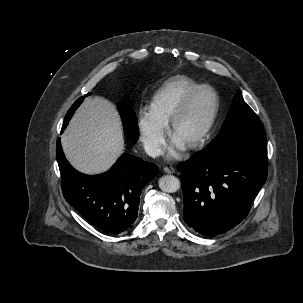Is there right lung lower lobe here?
<instances>
[{"label":"right lung lower lobe","instance_id":"98d812e1","mask_svg":"<svg viewBox=\"0 0 303 303\" xmlns=\"http://www.w3.org/2000/svg\"><path fill=\"white\" fill-rule=\"evenodd\" d=\"M56 156L65 200L88 222L109 234H120L133 227L141 192L158 173L154 163L123 154L106 173L85 175L68 163L60 138Z\"/></svg>","mask_w":303,"mask_h":303}]
</instances>
